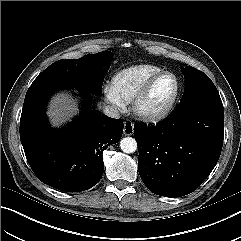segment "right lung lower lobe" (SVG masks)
Segmentation results:
<instances>
[{
  "label": "right lung lower lobe",
  "instance_id": "obj_1",
  "mask_svg": "<svg viewBox=\"0 0 241 241\" xmlns=\"http://www.w3.org/2000/svg\"><path fill=\"white\" fill-rule=\"evenodd\" d=\"M72 87L84 97L82 114L60 130L48 128L47 100L55 91ZM90 102L91 92L71 80L29 87L20 119V139L29 165L43 183L61 191L80 192L101 179L102 153L120 140L124 125L121 119L87 109Z\"/></svg>",
  "mask_w": 241,
  "mask_h": 241
}]
</instances>
